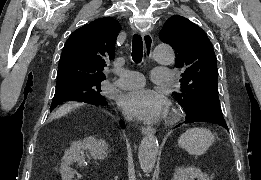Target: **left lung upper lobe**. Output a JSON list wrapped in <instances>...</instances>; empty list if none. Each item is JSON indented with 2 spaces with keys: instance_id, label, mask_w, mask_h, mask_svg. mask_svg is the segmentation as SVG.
<instances>
[{
  "instance_id": "5c2ea615",
  "label": "left lung upper lobe",
  "mask_w": 261,
  "mask_h": 180,
  "mask_svg": "<svg viewBox=\"0 0 261 180\" xmlns=\"http://www.w3.org/2000/svg\"><path fill=\"white\" fill-rule=\"evenodd\" d=\"M176 52L181 69V91L174 95L189 113L213 110L222 113L218 97L216 56L206 33L185 17H170L159 33Z\"/></svg>"
}]
</instances>
